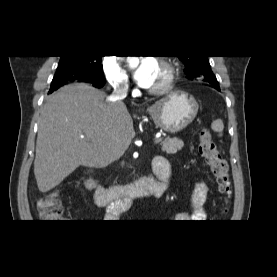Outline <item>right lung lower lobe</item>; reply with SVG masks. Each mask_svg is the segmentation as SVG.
Here are the masks:
<instances>
[{"label":"right lung lower lobe","mask_w":277,"mask_h":277,"mask_svg":"<svg viewBox=\"0 0 277 277\" xmlns=\"http://www.w3.org/2000/svg\"><path fill=\"white\" fill-rule=\"evenodd\" d=\"M79 79H82V80H84V81H86V82H89V83H92V84H94L95 86H97V87H102L103 86V84L102 83H98V82H95V81H91V80H88V79H86V78H79ZM50 93H52V92H50Z\"/></svg>","instance_id":"98d812e1"}]
</instances>
